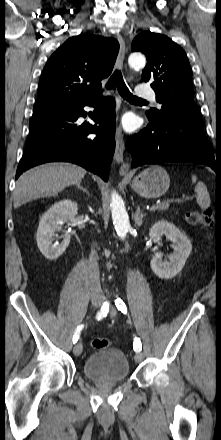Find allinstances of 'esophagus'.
<instances>
[{"instance_id":"obj_1","label":"esophagus","mask_w":221,"mask_h":440,"mask_svg":"<svg viewBox=\"0 0 221 440\" xmlns=\"http://www.w3.org/2000/svg\"><path fill=\"white\" fill-rule=\"evenodd\" d=\"M118 42H119L120 49H119V54L117 57L116 65L118 68H122L124 58H125L126 47H125L124 39L122 38L121 35H118ZM115 141H116V147H115V153H114V160L116 163L121 164L120 174L126 175L129 171V164L125 163L123 160L125 143H124L122 128L120 125L118 126V128L116 130Z\"/></svg>"}]
</instances>
